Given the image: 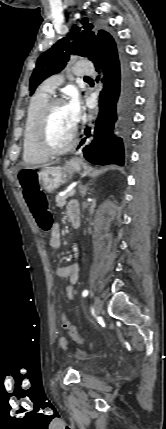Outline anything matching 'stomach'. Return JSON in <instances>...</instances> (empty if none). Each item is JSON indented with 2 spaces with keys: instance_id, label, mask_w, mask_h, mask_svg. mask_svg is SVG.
I'll return each instance as SVG.
<instances>
[{
  "instance_id": "obj_1",
  "label": "stomach",
  "mask_w": 166,
  "mask_h": 429,
  "mask_svg": "<svg viewBox=\"0 0 166 429\" xmlns=\"http://www.w3.org/2000/svg\"><path fill=\"white\" fill-rule=\"evenodd\" d=\"M82 162L77 159L70 160L64 167H47L38 172V183L47 193H53L64 182V175L79 172Z\"/></svg>"
}]
</instances>
